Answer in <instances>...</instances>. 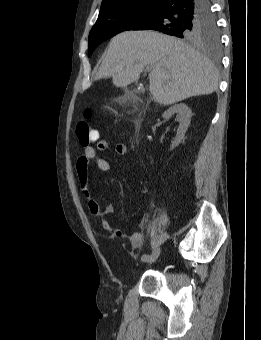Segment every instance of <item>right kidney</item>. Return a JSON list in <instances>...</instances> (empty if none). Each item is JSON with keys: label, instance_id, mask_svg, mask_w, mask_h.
I'll return each instance as SVG.
<instances>
[{"label": "right kidney", "instance_id": "ca27d5eb", "mask_svg": "<svg viewBox=\"0 0 261 340\" xmlns=\"http://www.w3.org/2000/svg\"><path fill=\"white\" fill-rule=\"evenodd\" d=\"M174 114L177 115V118L179 119L180 124L177 129L176 137L171 144V150L177 147L181 143L188 129V126L190 125V121L192 117L191 109L184 103L176 104L170 107L167 111L163 113L162 117L169 118Z\"/></svg>", "mask_w": 261, "mask_h": 340}]
</instances>
